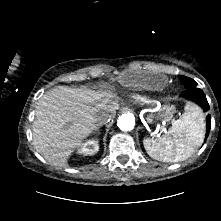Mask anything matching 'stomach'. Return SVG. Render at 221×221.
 Returning <instances> with one entry per match:
<instances>
[{"mask_svg":"<svg viewBox=\"0 0 221 221\" xmlns=\"http://www.w3.org/2000/svg\"><path fill=\"white\" fill-rule=\"evenodd\" d=\"M118 80L125 86L135 85L148 90H161L167 84V79L162 74L152 75L136 70L121 71Z\"/></svg>","mask_w":221,"mask_h":221,"instance_id":"0dacf381","label":"stomach"}]
</instances>
